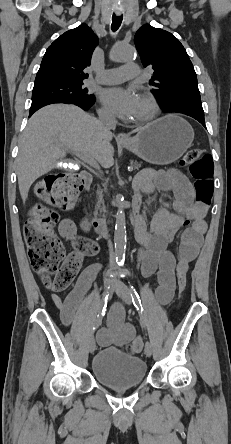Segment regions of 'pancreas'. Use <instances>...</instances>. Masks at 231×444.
Masks as SVG:
<instances>
[{
  "label": "pancreas",
  "instance_id": "pancreas-1",
  "mask_svg": "<svg viewBox=\"0 0 231 444\" xmlns=\"http://www.w3.org/2000/svg\"><path fill=\"white\" fill-rule=\"evenodd\" d=\"M131 166L134 168V169H139L140 167H141V163H139V162H137V161H135V162H131ZM98 205L100 206L102 203H103V192H102V190H100L99 192H98Z\"/></svg>",
  "mask_w": 231,
  "mask_h": 444
}]
</instances>
